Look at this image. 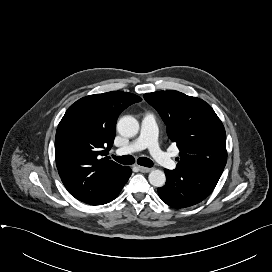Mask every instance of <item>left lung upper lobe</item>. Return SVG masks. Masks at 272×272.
<instances>
[{
    "label": "left lung upper lobe",
    "mask_w": 272,
    "mask_h": 272,
    "mask_svg": "<svg viewBox=\"0 0 272 272\" xmlns=\"http://www.w3.org/2000/svg\"><path fill=\"white\" fill-rule=\"evenodd\" d=\"M161 115L170 142L180 150L176 169L221 175L227 162L226 133L211 106L169 90L143 96Z\"/></svg>",
    "instance_id": "5c2ea615"
}]
</instances>
